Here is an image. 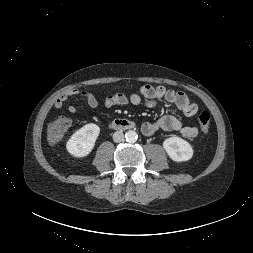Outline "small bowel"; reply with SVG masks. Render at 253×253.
I'll return each instance as SVG.
<instances>
[{"label":"small bowel","mask_w":253,"mask_h":253,"mask_svg":"<svg viewBox=\"0 0 253 253\" xmlns=\"http://www.w3.org/2000/svg\"><path fill=\"white\" fill-rule=\"evenodd\" d=\"M76 95H81L91 108H96L99 104L96 95L92 92L71 89L57 98L54 105L55 109H60L70 97ZM159 100H165L169 104L176 106L185 117H192L198 110L197 105L190 102L186 93L168 89L162 85H144L138 91L131 94L116 93L110 95L106 98L105 105L107 107H113L127 104H144L147 107H156L158 106ZM68 111L71 114H75L77 108L75 106H70ZM160 129L178 132L187 139H193L198 135V129L195 126H184L178 118L172 115L163 116L157 121L145 122L141 127L142 133L146 136H151Z\"/></svg>","instance_id":"1"}]
</instances>
